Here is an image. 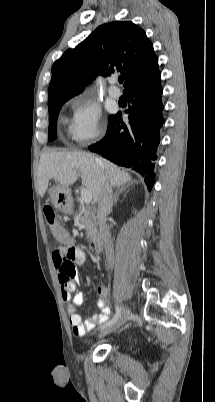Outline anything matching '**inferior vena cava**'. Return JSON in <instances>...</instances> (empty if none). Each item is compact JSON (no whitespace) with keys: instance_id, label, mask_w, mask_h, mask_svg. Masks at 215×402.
Returning a JSON list of instances; mask_svg holds the SVG:
<instances>
[{"instance_id":"obj_1","label":"inferior vena cava","mask_w":215,"mask_h":402,"mask_svg":"<svg viewBox=\"0 0 215 402\" xmlns=\"http://www.w3.org/2000/svg\"><path fill=\"white\" fill-rule=\"evenodd\" d=\"M113 206V192L107 178H103L101 193L98 199L97 218L99 223L100 236L104 242L107 263L110 268L114 265L113 244L106 225L107 215L111 212Z\"/></svg>"}]
</instances>
